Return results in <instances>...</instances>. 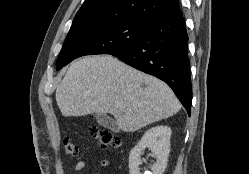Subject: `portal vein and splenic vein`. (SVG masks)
I'll list each match as a JSON object with an SVG mask.
<instances>
[{
	"instance_id": "18ae733b",
	"label": "portal vein and splenic vein",
	"mask_w": 249,
	"mask_h": 174,
	"mask_svg": "<svg viewBox=\"0 0 249 174\" xmlns=\"http://www.w3.org/2000/svg\"><path fill=\"white\" fill-rule=\"evenodd\" d=\"M116 107L119 108V105L117 104Z\"/></svg>"
}]
</instances>
